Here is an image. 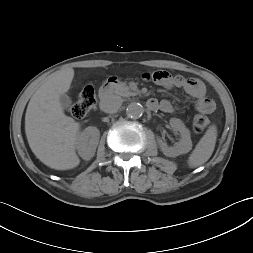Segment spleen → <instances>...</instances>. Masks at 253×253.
Returning a JSON list of instances; mask_svg holds the SVG:
<instances>
[{"instance_id":"1","label":"spleen","mask_w":253,"mask_h":253,"mask_svg":"<svg viewBox=\"0 0 253 253\" xmlns=\"http://www.w3.org/2000/svg\"><path fill=\"white\" fill-rule=\"evenodd\" d=\"M216 139L217 128L211 125L189 156L188 165L190 168H196L209 160L214 151Z\"/></svg>"}]
</instances>
